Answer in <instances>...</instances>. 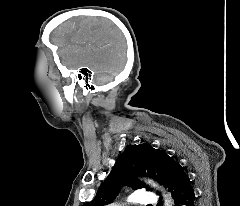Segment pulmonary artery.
I'll use <instances>...</instances> for the list:
<instances>
[{"mask_svg":"<svg viewBox=\"0 0 240 206\" xmlns=\"http://www.w3.org/2000/svg\"><path fill=\"white\" fill-rule=\"evenodd\" d=\"M132 200L136 204L140 205H153L157 202V197L155 194L146 192L143 190L136 191L132 195ZM110 206H116V205H110Z\"/></svg>","mask_w":240,"mask_h":206,"instance_id":"e3ab8cb5","label":"pulmonary artery"}]
</instances>
